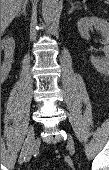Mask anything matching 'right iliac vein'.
I'll return each instance as SVG.
<instances>
[{
	"mask_svg": "<svg viewBox=\"0 0 109 170\" xmlns=\"http://www.w3.org/2000/svg\"><path fill=\"white\" fill-rule=\"evenodd\" d=\"M26 152H25V162H28L31 159V156L34 151V146H35V131H34V126L30 125L26 137Z\"/></svg>",
	"mask_w": 109,
	"mask_h": 170,
	"instance_id": "obj_1",
	"label": "right iliac vein"
}]
</instances>
